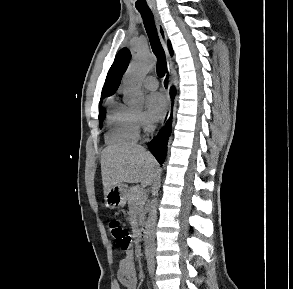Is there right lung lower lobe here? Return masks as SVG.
Masks as SVG:
<instances>
[{
  "instance_id": "obj_1",
  "label": "right lung lower lobe",
  "mask_w": 293,
  "mask_h": 289,
  "mask_svg": "<svg viewBox=\"0 0 293 289\" xmlns=\"http://www.w3.org/2000/svg\"><path fill=\"white\" fill-rule=\"evenodd\" d=\"M175 88H171V96L174 97ZM171 123H172V112L166 126L159 132L158 136L154 138L152 142L149 143V149L155 156L157 161L162 164L165 160L167 153V142L171 133Z\"/></svg>"
}]
</instances>
